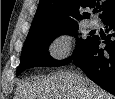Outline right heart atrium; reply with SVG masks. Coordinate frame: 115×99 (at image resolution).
<instances>
[{"instance_id":"right-heart-atrium-1","label":"right heart atrium","mask_w":115,"mask_h":99,"mask_svg":"<svg viewBox=\"0 0 115 99\" xmlns=\"http://www.w3.org/2000/svg\"><path fill=\"white\" fill-rule=\"evenodd\" d=\"M74 49V38L68 32H60L54 35L46 46L47 56L55 62L65 60Z\"/></svg>"}]
</instances>
